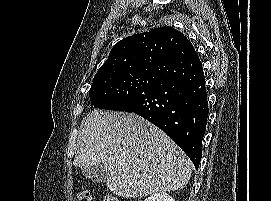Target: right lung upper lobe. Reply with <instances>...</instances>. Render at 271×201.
Wrapping results in <instances>:
<instances>
[{
    "instance_id": "1",
    "label": "right lung upper lobe",
    "mask_w": 271,
    "mask_h": 201,
    "mask_svg": "<svg viewBox=\"0 0 271 201\" xmlns=\"http://www.w3.org/2000/svg\"><path fill=\"white\" fill-rule=\"evenodd\" d=\"M186 37L172 27H158L119 41L94 78L128 71H152Z\"/></svg>"
}]
</instances>
